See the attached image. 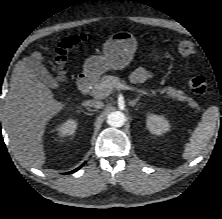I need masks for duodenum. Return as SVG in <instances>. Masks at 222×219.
Segmentation results:
<instances>
[{"label": "duodenum", "instance_id": "duodenum-1", "mask_svg": "<svg viewBox=\"0 0 222 219\" xmlns=\"http://www.w3.org/2000/svg\"><path fill=\"white\" fill-rule=\"evenodd\" d=\"M93 84V77L90 74L81 75L78 79V89L82 94H87Z\"/></svg>", "mask_w": 222, "mask_h": 219}]
</instances>
